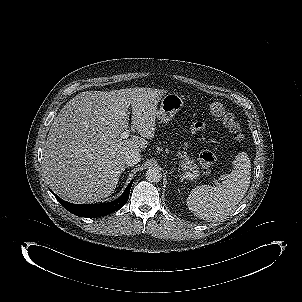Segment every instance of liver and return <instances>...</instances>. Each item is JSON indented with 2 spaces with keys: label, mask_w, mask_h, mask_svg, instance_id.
<instances>
[{
  "label": "liver",
  "mask_w": 302,
  "mask_h": 302,
  "mask_svg": "<svg viewBox=\"0 0 302 302\" xmlns=\"http://www.w3.org/2000/svg\"><path fill=\"white\" fill-rule=\"evenodd\" d=\"M165 90L126 88L86 91L60 110L49 130L43 172L51 189L72 203H94L115 190L128 152L154 137L157 100ZM141 136L121 139L129 127Z\"/></svg>",
  "instance_id": "obj_1"
}]
</instances>
